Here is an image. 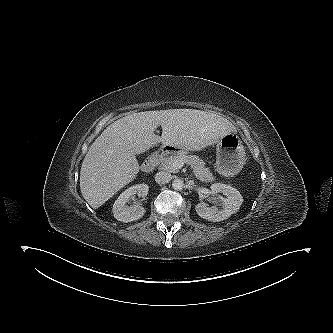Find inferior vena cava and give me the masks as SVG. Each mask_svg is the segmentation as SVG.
I'll return each mask as SVG.
<instances>
[{"label":"inferior vena cava","instance_id":"602c4592","mask_svg":"<svg viewBox=\"0 0 333 333\" xmlns=\"http://www.w3.org/2000/svg\"><path fill=\"white\" fill-rule=\"evenodd\" d=\"M172 179V175L169 172L160 171L155 175V181L158 184H166Z\"/></svg>","mask_w":333,"mask_h":333}]
</instances>
